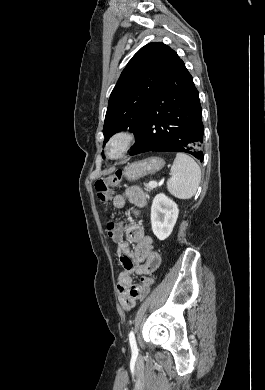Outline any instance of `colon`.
Masks as SVG:
<instances>
[{"instance_id": "5ec220e1", "label": "colon", "mask_w": 265, "mask_h": 390, "mask_svg": "<svg viewBox=\"0 0 265 390\" xmlns=\"http://www.w3.org/2000/svg\"><path fill=\"white\" fill-rule=\"evenodd\" d=\"M121 177L122 173L119 171L115 175L99 178L95 182V190L101 201L106 202L108 200L111 193L121 180ZM107 234L115 242L118 241L121 237L120 224L113 220L109 221L107 223ZM152 282L153 281L150 277L142 279L140 284L141 299L145 298L149 294Z\"/></svg>"}]
</instances>
